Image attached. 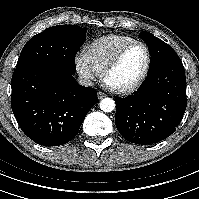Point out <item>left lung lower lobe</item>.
Segmentation results:
<instances>
[{
    "label": "left lung lower lobe",
    "instance_id": "0a47b994",
    "mask_svg": "<svg viewBox=\"0 0 199 199\" xmlns=\"http://www.w3.org/2000/svg\"><path fill=\"white\" fill-rule=\"evenodd\" d=\"M115 124L135 144L159 142L175 132L187 106L186 77L179 58L149 72L131 96L116 98Z\"/></svg>",
    "mask_w": 199,
    "mask_h": 199
}]
</instances>
